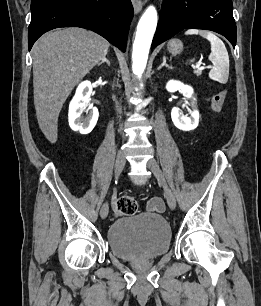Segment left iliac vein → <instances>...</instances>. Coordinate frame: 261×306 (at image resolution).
Masks as SVG:
<instances>
[{
  "mask_svg": "<svg viewBox=\"0 0 261 306\" xmlns=\"http://www.w3.org/2000/svg\"><path fill=\"white\" fill-rule=\"evenodd\" d=\"M148 169L154 174L156 179L163 185L164 191H165V197L167 200V203L169 207L174 210L176 207V199L172 192V190L169 188V186L166 183L164 174L162 173L158 163L154 159H150L147 162Z\"/></svg>",
  "mask_w": 261,
  "mask_h": 306,
  "instance_id": "4c4485c4",
  "label": "left iliac vein"
}]
</instances>
